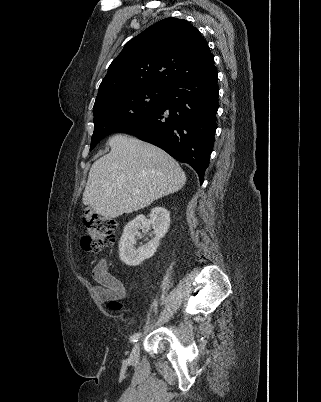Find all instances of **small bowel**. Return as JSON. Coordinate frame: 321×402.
I'll return each mask as SVG.
<instances>
[{
	"label": "small bowel",
	"instance_id": "obj_1",
	"mask_svg": "<svg viewBox=\"0 0 321 402\" xmlns=\"http://www.w3.org/2000/svg\"><path fill=\"white\" fill-rule=\"evenodd\" d=\"M92 275L97 285L95 293L102 300L123 298L125 289L120 280L108 271L106 262L101 261L92 270Z\"/></svg>",
	"mask_w": 321,
	"mask_h": 402
}]
</instances>
